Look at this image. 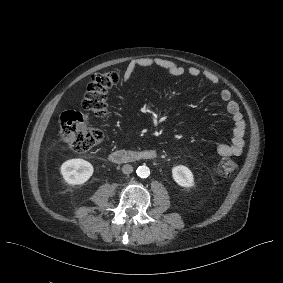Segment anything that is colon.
Here are the masks:
<instances>
[{
  "label": "colon",
  "mask_w": 283,
  "mask_h": 283,
  "mask_svg": "<svg viewBox=\"0 0 283 283\" xmlns=\"http://www.w3.org/2000/svg\"><path fill=\"white\" fill-rule=\"evenodd\" d=\"M120 74L116 71L97 73L88 84L82 107L97 116H104L108 109V91L118 84ZM60 133L62 139L75 151L86 152L96 147L103 134L90 126L88 117L75 110H66L60 116ZM237 170V163L232 159H222L215 166L219 177H230Z\"/></svg>",
  "instance_id": "obj_1"
}]
</instances>
